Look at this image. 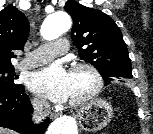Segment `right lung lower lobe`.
Masks as SVG:
<instances>
[{
    "label": "right lung lower lobe",
    "mask_w": 153,
    "mask_h": 134,
    "mask_svg": "<svg viewBox=\"0 0 153 134\" xmlns=\"http://www.w3.org/2000/svg\"><path fill=\"white\" fill-rule=\"evenodd\" d=\"M32 106L24 87L0 88V127L10 128L21 134H44L49 119L39 125L31 122Z\"/></svg>",
    "instance_id": "obj_1"
}]
</instances>
